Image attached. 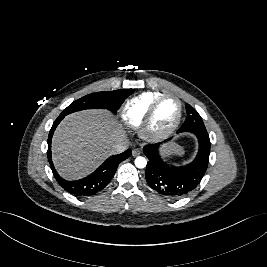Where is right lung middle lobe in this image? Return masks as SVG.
I'll use <instances>...</instances> for the list:
<instances>
[{"mask_svg":"<svg viewBox=\"0 0 267 267\" xmlns=\"http://www.w3.org/2000/svg\"><path fill=\"white\" fill-rule=\"evenodd\" d=\"M133 92V89H120L86 95L65 108L57 119L62 120L70 113L85 109H108L115 113L120 108L124 100Z\"/></svg>","mask_w":267,"mask_h":267,"instance_id":"right-lung-middle-lobe-1","label":"right lung middle lobe"}]
</instances>
